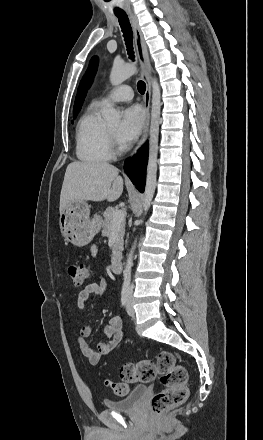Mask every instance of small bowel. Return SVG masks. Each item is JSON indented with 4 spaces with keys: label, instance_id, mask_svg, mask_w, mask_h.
<instances>
[{
    "label": "small bowel",
    "instance_id": "small-bowel-1",
    "mask_svg": "<svg viewBox=\"0 0 263 440\" xmlns=\"http://www.w3.org/2000/svg\"><path fill=\"white\" fill-rule=\"evenodd\" d=\"M93 252H96V248H93ZM108 290V285L103 277H100L98 282L90 283L86 285L78 294L77 307L80 311H86L87 303L94 296H103ZM93 332V326L91 324L84 325L78 337V343L83 355L92 364L99 362L101 357L109 354L116 347H118L124 338L123 332V320L121 316H112L105 328L107 335V341L101 342L97 347H91L87 343V339Z\"/></svg>",
    "mask_w": 263,
    "mask_h": 440
}]
</instances>
